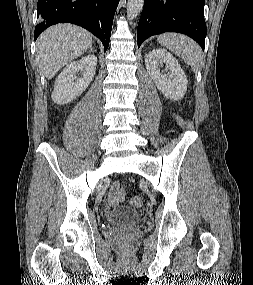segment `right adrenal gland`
Returning <instances> with one entry per match:
<instances>
[{
	"label": "right adrenal gland",
	"mask_w": 253,
	"mask_h": 285,
	"mask_svg": "<svg viewBox=\"0 0 253 285\" xmlns=\"http://www.w3.org/2000/svg\"><path fill=\"white\" fill-rule=\"evenodd\" d=\"M90 51H91V52H94L95 50H94V48H93V47H90Z\"/></svg>",
	"instance_id": "1"
}]
</instances>
